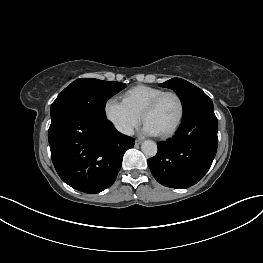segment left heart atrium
Segmentation results:
<instances>
[{"instance_id":"left-heart-atrium-1","label":"left heart atrium","mask_w":263,"mask_h":263,"mask_svg":"<svg viewBox=\"0 0 263 263\" xmlns=\"http://www.w3.org/2000/svg\"><path fill=\"white\" fill-rule=\"evenodd\" d=\"M143 132L147 135H158L159 132L148 122L143 126Z\"/></svg>"}]
</instances>
